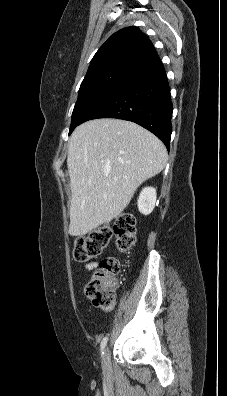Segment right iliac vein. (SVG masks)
Segmentation results:
<instances>
[{
  "label": "right iliac vein",
  "instance_id": "63e3f726",
  "mask_svg": "<svg viewBox=\"0 0 227 396\" xmlns=\"http://www.w3.org/2000/svg\"><path fill=\"white\" fill-rule=\"evenodd\" d=\"M108 363H109V349H108V347H107V348L104 350V354H103V356H102V365H103V368H107Z\"/></svg>",
  "mask_w": 227,
  "mask_h": 396
}]
</instances>
